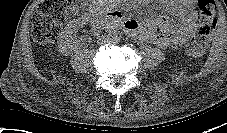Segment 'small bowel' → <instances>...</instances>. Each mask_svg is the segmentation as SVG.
I'll return each instance as SVG.
<instances>
[{
    "instance_id": "c3829d8e",
    "label": "small bowel",
    "mask_w": 227,
    "mask_h": 133,
    "mask_svg": "<svg viewBox=\"0 0 227 133\" xmlns=\"http://www.w3.org/2000/svg\"><path fill=\"white\" fill-rule=\"evenodd\" d=\"M160 2L167 11L178 18V22L168 15H161L155 20L139 22L128 19L125 22L131 27L132 33L140 34L144 40L161 48L179 46L194 32L197 0H160ZM115 12L121 16L120 12Z\"/></svg>"
}]
</instances>
